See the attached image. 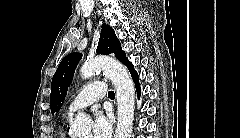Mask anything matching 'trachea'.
Wrapping results in <instances>:
<instances>
[{
  "instance_id": "trachea-1",
  "label": "trachea",
  "mask_w": 240,
  "mask_h": 138,
  "mask_svg": "<svg viewBox=\"0 0 240 138\" xmlns=\"http://www.w3.org/2000/svg\"><path fill=\"white\" fill-rule=\"evenodd\" d=\"M108 97L110 98V99H114V91H109L108 92Z\"/></svg>"
}]
</instances>
